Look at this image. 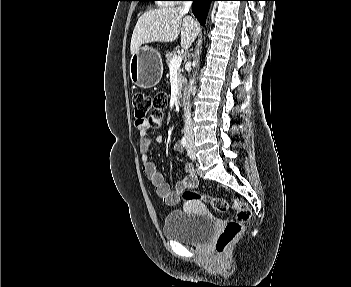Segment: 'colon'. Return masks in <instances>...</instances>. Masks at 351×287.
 I'll use <instances>...</instances> for the list:
<instances>
[{"label": "colon", "mask_w": 351, "mask_h": 287, "mask_svg": "<svg viewBox=\"0 0 351 287\" xmlns=\"http://www.w3.org/2000/svg\"><path fill=\"white\" fill-rule=\"evenodd\" d=\"M132 103L136 120H149L151 127L161 125L163 112L167 106V96L165 93L159 92L149 95L143 92H135L132 97ZM182 195L187 201L195 199L208 201L219 212H227L230 208L236 210V219L227 222L216 240L215 248L218 253H223L242 233L245 223L250 220L252 215L250 208L245 203L236 200L229 203L227 200L218 197L208 199L191 190H184Z\"/></svg>", "instance_id": "obj_1"}]
</instances>
